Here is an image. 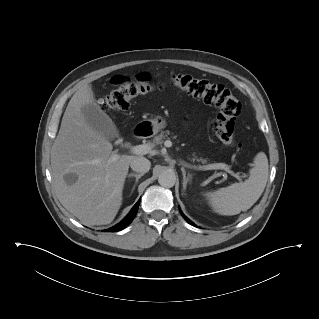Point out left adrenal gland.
Listing matches in <instances>:
<instances>
[{
    "label": "left adrenal gland",
    "instance_id": "1",
    "mask_svg": "<svg viewBox=\"0 0 319 319\" xmlns=\"http://www.w3.org/2000/svg\"><path fill=\"white\" fill-rule=\"evenodd\" d=\"M181 171H182V175H183V183H182L183 184V190H186L187 183L192 178V174L188 173L186 175V171H185V169L183 167L181 168Z\"/></svg>",
    "mask_w": 319,
    "mask_h": 319
}]
</instances>
